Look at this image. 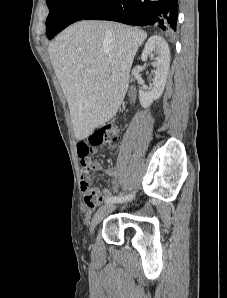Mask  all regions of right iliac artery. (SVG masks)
<instances>
[{"label": "right iliac artery", "mask_w": 227, "mask_h": 298, "mask_svg": "<svg viewBox=\"0 0 227 298\" xmlns=\"http://www.w3.org/2000/svg\"><path fill=\"white\" fill-rule=\"evenodd\" d=\"M134 197V194H129L126 196H112L106 199V203L124 202L129 201Z\"/></svg>", "instance_id": "82829eb1"}]
</instances>
